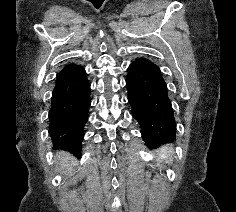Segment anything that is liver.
<instances>
[{"mask_svg": "<svg viewBox=\"0 0 236 212\" xmlns=\"http://www.w3.org/2000/svg\"><path fill=\"white\" fill-rule=\"evenodd\" d=\"M58 160L57 164L60 165V170L66 171L72 165H74V160L68 153L60 152L56 155Z\"/></svg>", "mask_w": 236, "mask_h": 212, "instance_id": "liver-1", "label": "liver"}]
</instances>
